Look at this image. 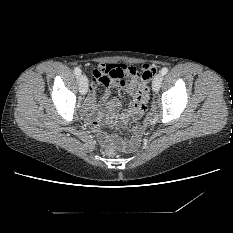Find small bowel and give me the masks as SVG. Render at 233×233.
Returning <instances> with one entry per match:
<instances>
[{
    "label": "small bowel",
    "instance_id": "c3829d8e",
    "mask_svg": "<svg viewBox=\"0 0 233 233\" xmlns=\"http://www.w3.org/2000/svg\"><path fill=\"white\" fill-rule=\"evenodd\" d=\"M99 72L100 76H107L108 82H104L100 79L93 77L94 85L89 88V94L85 104L86 113L92 118V130L95 133L100 145L105 146L112 142L126 143L130 148H136L139 142L141 132L144 130L145 125L134 127L127 137H118L107 134L99 128V121L103 117V110L110 112L109 119L114 123H123L127 120H141L144 116L146 103H138L136 101V95L139 91L145 90L147 81H137L133 79L129 83L121 77V74L125 71L123 64L119 63H98L95 68ZM102 83L105 85V90L101 99V109L97 108L96 104V90L97 84ZM116 87L121 91L125 90L133 99L132 107L128 110H121V102L111 96V89Z\"/></svg>",
    "mask_w": 233,
    "mask_h": 233
}]
</instances>
